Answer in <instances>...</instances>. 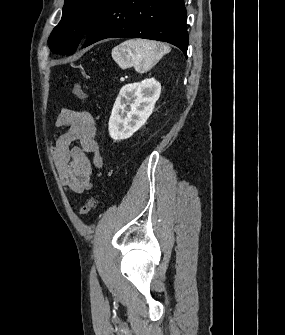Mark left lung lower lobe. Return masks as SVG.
<instances>
[{
  "label": "left lung lower lobe",
  "instance_id": "obj_1",
  "mask_svg": "<svg viewBox=\"0 0 285 335\" xmlns=\"http://www.w3.org/2000/svg\"><path fill=\"white\" fill-rule=\"evenodd\" d=\"M112 37L168 42L187 58L184 0H110L86 34L82 48Z\"/></svg>",
  "mask_w": 285,
  "mask_h": 335
}]
</instances>
